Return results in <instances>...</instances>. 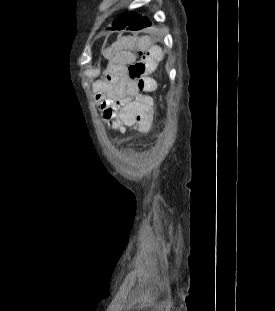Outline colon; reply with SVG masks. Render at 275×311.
I'll list each match as a JSON object with an SVG mask.
<instances>
[{
	"label": "colon",
	"instance_id": "1",
	"mask_svg": "<svg viewBox=\"0 0 275 311\" xmlns=\"http://www.w3.org/2000/svg\"><path fill=\"white\" fill-rule=\"evenodd\" d=\"M154 57H140L137 61L133 62L128 67V74L130 78L136 81L140 93L147 95L154 90V80L148 76L154 68L156 62ZM125 118H114L111 125L112 130H125Z\"/></svg>",
	"mask_w": 275,
	"mask_h": 311
}]
</instances>
